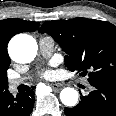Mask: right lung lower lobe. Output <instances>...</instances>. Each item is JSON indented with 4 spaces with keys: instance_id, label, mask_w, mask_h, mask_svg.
<instances>
[{
    "instance_id": "right-lung-lower-lobe-1",
    "label": "right lung lower lobe",
    "mask_w": 116,
    "mask_h": 116,
    "mask_svg": "<svg viewBox=\"0 0 116 116\" xmlns=\"http://www.w3.org/2000/svg\"><path fill=\"white\" fill-rule=\"evenodd\" d=\"M32 91L14 97L9 91L0 97V116H29L33 109Z\"/></svg>"
}]
</instances>
